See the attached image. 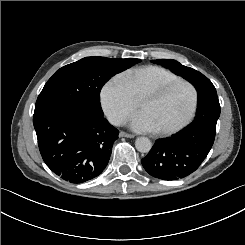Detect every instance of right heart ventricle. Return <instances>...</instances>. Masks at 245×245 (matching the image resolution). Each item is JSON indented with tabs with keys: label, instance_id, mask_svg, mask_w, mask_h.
Here are the masks:
<instances>
[{
	"label": "right heart ventricle",
	"instance_id": "e07e8e85",
	"mask_svg": "<svg viewBox=\"0 0 245 245\" xmlns=\"http://www.w3.org/2000/svg\"><path fill=\"white\" fill-rule=\"evenodd\" d=\"M130 91L132 98L137 101L142 90L150 84L165 85L181 80L173 72L159 66H142L127 70L117 76Z\"/></svg>",
	"mask_w": 245,
	"mask_h": 245
}]
</instances>
